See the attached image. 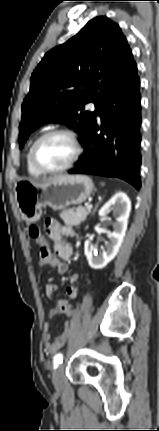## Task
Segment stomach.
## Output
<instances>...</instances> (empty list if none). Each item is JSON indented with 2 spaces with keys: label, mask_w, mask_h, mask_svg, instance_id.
I'll list each match as a JSON object with an SVG mask.
<instances>
[{
  "label": "stomach",
  "mask_w": 159,
  "mask_h": 431,
  "mask_svg": "<svg viewBox=\"0 0 159 431\" xmlns=\"http://www.w3.org/2000/svg\"><path fill=\"white\" fill-rule=\"evenodd\" d=\"M94 189L85 175L57 176L38 183L22 180L15 185V199L23 220L28 223L40 219L42 208L62 210L86 201Z\"/></svg>",
  "instance_id": "stomach-1"
}]
</instances>
